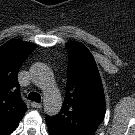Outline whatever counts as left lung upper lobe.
I'll list each match as a JSON object with an SVG mask.
<instances>
[{
    "instance_id": "obj_1",
    "label": "left lung upper lobe",
    "mask_w": 135,
    "mask_h": 135,
    "mask_svg": "<svg viewBox=\"0 0 135 135\" xmlns=\"http://www.w3.org/2000/svg\"><path fill=\"white\" fill-rule=\"evenodd\" d=\"M69 53L66 96L61 111L47 116L54 135H92L105 114V98L96 62L81 43H66Z\"/></svg>"
}]
</instances>
